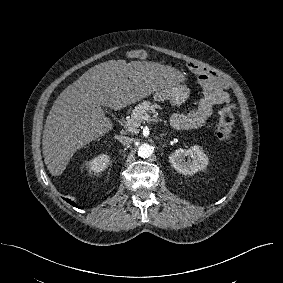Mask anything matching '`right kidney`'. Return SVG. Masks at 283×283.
I'll return each instance as SVG.
<instances>
[{"mask_svg":"<svg viewBox=\"0 0 283 283\" xmlns=\"http://www.w3.org/2000/svg\"><path fill=\"white\" fill-rule=\"evenodd\" d=\"M110 162V158L107 154H100L95 158L86 162V167L89 171H93L96 173L103 172Z\"/></svg>","mask_w":283,"mask_h":283,"instance_id":"obj_1","label":"right kidney"}]
</instances>
